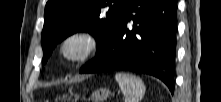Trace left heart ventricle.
<instances>
[{"mask_svg":"<svg viewBox=\"0 0 221 102\" xmlns=\"http://www.w3.org/2000/svg\"><path fill=\"white\" fill-rule=\"evenodd\" d=\"M78 52V46L77 45H71L70 47H69V49H68V53L70 54V55H74V54H76Z\"/></svg>","mask_w":221,"mask_h":102,"instance_id":"obj_1","label":"left heart ventricle"}]
</instances>
